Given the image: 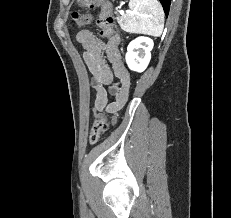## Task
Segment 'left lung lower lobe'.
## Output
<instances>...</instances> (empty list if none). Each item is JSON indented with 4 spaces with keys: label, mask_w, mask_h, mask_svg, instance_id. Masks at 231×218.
I'll use <instances>...</instances> for the list:
<instances>
[{
    "label": "left lung lower lobe",
    "mask_w": 231,
    "mask_h": 218,
    "mask_svg": "<svg viewBox=\"0 0 231 218\" xmlns=\"http://www.w3.org/2000/svg\"><path fill=\"white\" fill-rule=\"evenodd\" d=\"M163 6L164 12L166 14V16L169 13V7H170V2L171 0H159Z\"/></svg>",
    "instance_id": "0a47b994"
}]
</instances>
